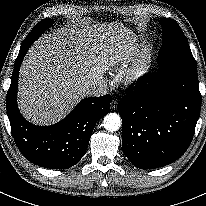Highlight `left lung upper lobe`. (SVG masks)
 Here are the masks:
<instances>
[{
  "instance_id": "1",
  "label": "left lung upper lobe",
  "mask_w": 206,
  "mask_h": 206,
  "mask_svg": "<svg viewBox=\"0 0 206 206\" xmlns=\"http://www.w3.org/2000/svg\"><path fill=\"white\" fill-rule=\"evenodd\" d=\"M163 44L158 54L159 70L175 69L197 73L195 59L178 23L162 18Z\"/></svg>"
}]
</instances>
